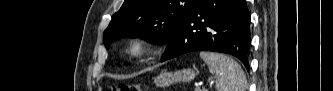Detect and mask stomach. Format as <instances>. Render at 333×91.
Segmentation results:
<instances>
[{
    "label": "stomach",
    "instance_id": "0dacf381",
    "mask_svg": "<svg viewBox=\"0 0 333 91\" xmlns=\"http://www.w3.org/2000/svg\"><path fill=\"white\" fill-rule=\"evenodd\" d=\"M195 76V71L190 68L176 72H162L154 79V83L159 87H168L178 82H189Z\"/></svg>",
    "mask_w": 333,
    "mask_h": 91
}]
</instances>
